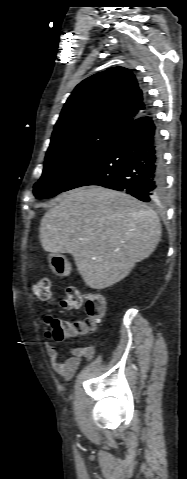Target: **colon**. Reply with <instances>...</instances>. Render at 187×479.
Masks as SVG:
<instances>
[{
	"label": "colon",
	"instance_id": "5ec220e1",
	"mask_svg": "<svg viewBox=\"0 0 187 479\" xmlns=\"http://www.w3.org/2000/svg\"><path fill=\"white\" fill-rule=\"evenodd\" d=\"M30 292L33 297L41 301L52 300L51 282L48 278H40L32 282ZM61 305L68 311L84 308L86 316L83 319L70 321L46 316L45 321L51 329L47 332V337L55 340L86 335L95 331L106 313V300L102 293L92 292L83 295L74 286L65 288L61 297Z\"/></svg>",
	"mask_w": 187,
	"mask_h": 479
}]
</instances>
